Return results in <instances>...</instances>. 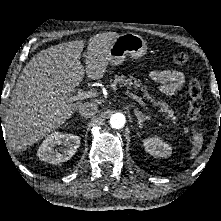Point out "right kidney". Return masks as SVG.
Wrapping results in <instances>:
<instances>
[{
  "instance_id": "ca27d5eb",
  "label": "right kidney",
  "mask_w": 221,
  "mask_h": 221,
  "mask_svg": "<svg viewBox=\"0 0 221 221\" xmlns=\"http://www.w3.org/2000/svg\"><path fill=\"white\" fill-rule=\"evenodd\" d=\"M79 145V136L54 132L45 138L37 155L40 160L57 165L68 161L76 153Z\"/></svg>"
}]
</instances>
